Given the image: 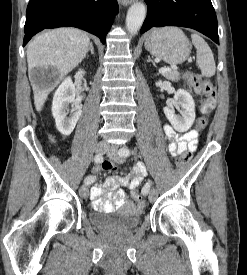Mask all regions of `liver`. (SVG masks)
<instances>
[{"instance_id": "obj_1", "label": "liver", "mask_w": 247, "mask_h": 275, "mask_svg": "<svg viewBox=\"0 0 247 275\" xmlns=\"http://www.w3.org/2000/svg\"><path fill=\"white\" fill-rule=\"evenodd\" d=\"M90 47L88 35L76 28H57L36 36L27 47L28 72L34 68L52 66L57 70L58 80L47 87L32 84L34 104L38 112L44 106L49 93L64 76L86 57Z\"/></svg>"}]
</instances>
